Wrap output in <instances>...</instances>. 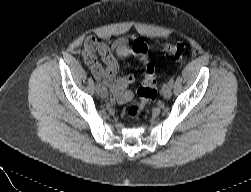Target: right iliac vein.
I'll return each mask as SVG.
<instances>
[{
	"mask_svg": "<svg viewBox=\"0 0 251 192\" xmlns=\"http://www.w3.org/2000/svg\"><path fill=\"white\" fill-rule=\"evenodd\" d=\"M98 94H100V96H101L102 98H107V97H108V91H107V89L104 88V87L100 89V91H99Z\"/></svg>",
	"mask_w": 251,
	"mask_h": 192,
	"instance_id": "63e3f726",
	"label": "right iliac vein"
}]
</instances>
